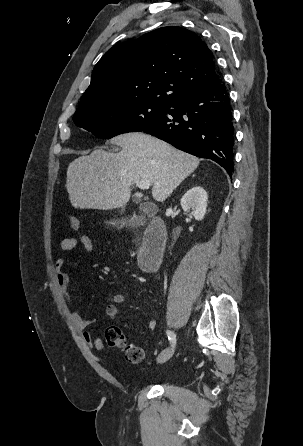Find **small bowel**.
Masks as SVG:
<instances>
[{"label":"small bowel","mask_w":303,"mask_h":446,"mask_svg":"<svg viewBox=\"0 0 303 446\" xmlns=\"http://www.w3.org/2000/svg\"><path fill=\"white\" fill-rule=\"evenodd\" d=\"M80 243L85 250L86 253L90 254L94 250L93 241L86 235H77L70 236L63 239L60 242V249L62 251H71L73 250L77 244ZM55 273H56V281L62 290L65 299L68 303L72 302L71 294L69 290V276L65 271V261L63 259H58L55 263ZM126 295L122 293L112 294L107 298L108 305L105 308L106 316L111 320H122L121 312L118 307V304L124 303L126 301ZM70 318L76 329L82 332V337L85 343L96 350H103L104 343L103 341L94 336L89 330L88 327L96 321L93 320H85L77 311H73L70 313ZM149 329H154L156 327L155 320H149L148 322Z\"/></svg>","instance_id":"c3829d8e"}]
</instances>
